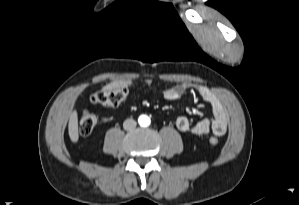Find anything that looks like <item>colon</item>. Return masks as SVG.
<instances>
[{
	"label": "colon",
	"mask_w": 299,
	"mask_h": 205,
	"mask_svg": "<svg viewBox=\"0 0 299 205\" xmlns=\"http://www.w3.org/2000/svg\"><path fill=\"white\" fill-rule=\"evenodd\" d=\"M128 90L126 86H119L113 89H103L94 93L90 97L92 104L100 105L103 107H115L118 106L127 96ZM97 116L95 113L89 110H84L79 120V132L83 136L91 134L97 124ZM209 143L216 146L219 140L216 136L209 138Z\"/></svg>",
	"instance_id": "obj_1"
}]
</instances>
